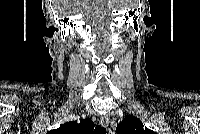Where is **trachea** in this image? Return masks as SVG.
<instances>
[{
  "mask_svg": "<svg viewBox=\"0 0 200 134\" xmlns=\"http://www.w3.org/2000/svg\"><path fill=\"white\" fill-rule=\"evenodd\" d=\"M105 133L106 129L100 125H98L94 130V134H105Z\"/></svg>",
  "mask_w": 200,
  "mask_h": 134,
  "instance_id": "1",
  "label": "trachea"
}]
</instances>
